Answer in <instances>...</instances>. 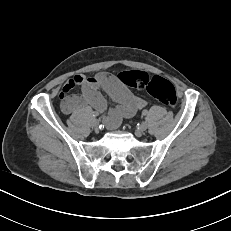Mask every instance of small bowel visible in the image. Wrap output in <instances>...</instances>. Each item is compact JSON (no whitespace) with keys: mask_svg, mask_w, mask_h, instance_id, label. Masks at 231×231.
Listing matches in <instances>:
<instances>
[{"mask_svg":"<svg viewBox=\"0 0 231 231\" xmlns=\"http://www.w3.org/2000/svg\"><path fill=\"white\" fill-rule=\"evenodd\" d=\"M77 86L81 88V95L70 94ZM101 91L116 103L104 115V122L110 129L118 127L122 119L134 116L147 105L146 100L134 95L115 75L100 72L93 76L76 75L64 83L60 92L62 111L71 114L91 107L97 112L105 113L107 102Z\"/></svg>","mask_w":231,"mask_h":231,"instance_id":"small-bowel-1","label":"small bowel"}]
</instances>
